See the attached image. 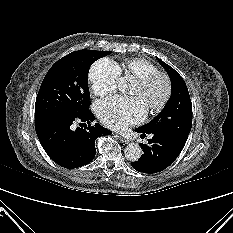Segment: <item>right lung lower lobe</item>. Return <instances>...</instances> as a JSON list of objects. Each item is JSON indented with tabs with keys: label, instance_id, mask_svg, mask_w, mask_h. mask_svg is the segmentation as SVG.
Segmentation results:
<instances>
[{
	"label": "right lung lower lobe",
	"instance_id": "1",
	"mask_svg": "<svg viewBox=\"0 0 233 233\" xmlns=\"http://www.w3.org/2000/svg\"><path fill=\"white\" fill-rule=\"evenodd\" d=\"M90 124L93 113L87 109L76 116L43 119L35 122L40 143L48 156L58 165L72 169L90 163L96 154L95 140L112 132L96 123L86 129H71L73 121Z\"/></svg>",
	"mask_w": 233,
	"mask_h": 233
}]
</instances>
